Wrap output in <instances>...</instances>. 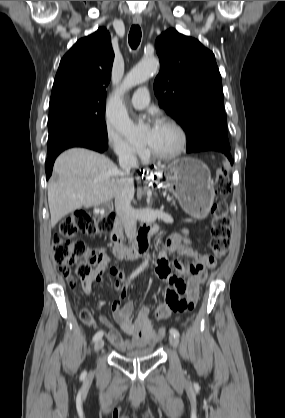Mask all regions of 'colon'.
Returning a JSON list of instances; mask_svg holds the SVG:
<instances>
[{
    "label": "colon",
    "mask_w": 285,
    "mask_h": 418,
    "mask_svg": "<svg viewBox=\"0 0 285 418\" xmlns=\"http://www.w3.org/2000/svg\"><path fill=\"white\" fill-rule=\"evenodd\" d=\"M224 168H219L214 175V188L217 193L226 195L229 193L230 185L224 178ZM212 225L209 248L212 255L207 257L206 266L213 268L216 264V258L226 254L229 248L230 237V219L228 208L225 202L220 201L213 205L211 209ZM117 218L111 214L100 219H95L88 212L76 210L63 219L58 231L54 234L52 245L54 258L62 274H69L68 269L76 268V274L82 279L89 278L95 266L103 262L99 255L91 257L89 261L85 259L86 249L83 242L77 240V234L89 236L104 234L115 226ZM160 255L159 258H162ZM72 284V281H69ZM194 303L190 301L186 304L188 309L193 308ZM165 335V329L159 328L156 332V338L159 339Z\"/></svg>",
    "instance_id": "1"
}]
</instances>
